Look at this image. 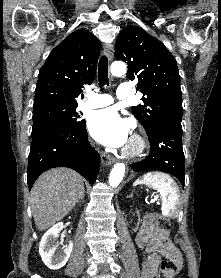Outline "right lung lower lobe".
I'll list each match as a JSON object with an SVG mask.
<instances>
[{
	"instance_id": "1",
	"label": "right lung lower lobe",
	"mask_w": 221,
	"mask_h": 278,
	"mask_svg": "<svg viewBox=\"0 0 221 278\" xmlns=\"http://www.w3.org/2000/svg\"><path fill=\"white\" fill-rule=\"evenodd\" d=\"M70 167L92 184L100 168V155L89 144L85 122L73 129H48L32 137L27 184L31 188L50 168Z\"/></svg>"
}]
</instances>
